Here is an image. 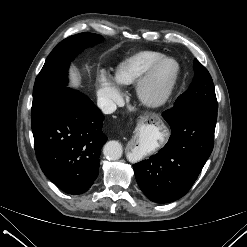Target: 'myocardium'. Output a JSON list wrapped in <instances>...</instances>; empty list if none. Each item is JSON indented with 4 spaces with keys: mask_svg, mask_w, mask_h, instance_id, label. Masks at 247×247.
<instances>
[{
    "mask_svg": "<svg viewBox=\"0 0 247 247\" xmlns=\"http://www.w3.org/2000/svg\"><path fill=\"white\" fill-rule=\"evenodd\" d=\"M165 63L172 67L167 80L162 84L156 83L158 69ZM180 68L177 61L170 56H162L156 60L145 74L137 81L136 94L138 99L151 108L164 105L171 97L179 76Z\"/></svg>",
    "mask_w": 247,
    "mask_h": 247,
    "instance_id": "obj_1",
    "label": "myocardium"
}]
</instances>
